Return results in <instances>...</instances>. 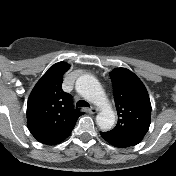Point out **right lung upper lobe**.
<instances>
[{
	"mask_svg": "<svg viewBox=\"0 0 176 176\" xmlns=\"http://www.w3.org/2000/svg\"><path fill=\"white\" fill-rule=\"evenodd\" d=\"M65 62L54 64L38 81L27 103L28 128L41 143L55 145L67 138L78 117L84 113L74 109L72 97L62 90Z\"/></svg>",
	"mask_w": 176,
	"mask_h": 176,
	"instance_id": "cb5924a9",
	"label": "right lung upper lobe"
}]
</instances>
